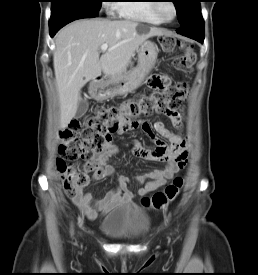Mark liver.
<instances>
[{
  "instance_id": "liver-1",
  "label": "liver",
  "mask_w": 258,
  "mask_h": 275,
  "mask_svg": "<svg viewBox=\"0 0 258 275\" xmlns=\"http://www.w3.org/2000/svg\"><path fill=\"white\" fill-rule=\"evenodd\" d=\"M163 31L133 20L82 19L62 28L55 37L53 53L60 127L75 117L81 88L101 73L116 77L124 72L135 51ZM108 50L100 56V47Z\"/></svg>"
}]
</instances>
